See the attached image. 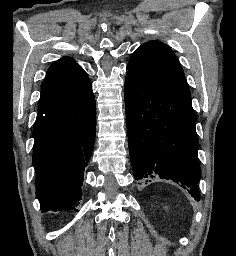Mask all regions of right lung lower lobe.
I'll return each instance as SVG.
<instances>
[{
    "mask_svg": "<svg viewBox=\"0 0 236 256\" xmlns=\"http://www.w3.org/2000/svg\"><path fill=\"white\" fill-rule=\"evenodd\" d=\"M95 98L89 80L57 103L38 112L33 165L41 210H75L81 200L84 170L94 144Z\"/></svg>",
    "mask_w": 236,
    "mask_h": 256,
    "instance_id": "obj_1",
    "label": "right lung lower lobe"
}]
</instances>
